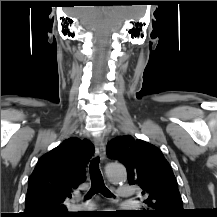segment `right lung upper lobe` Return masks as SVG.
Returning <instances> with one entry per match:
<instances>
[{
  "instance_id": "cb5924a9",
  "label": "right lung upper lobe",
  "mask_w": 217,
  "mask_h": 217,
  "mask_svg": "<svg viewBox=\"0 0 217 217\" xmlns=\"http://www.w3.org/2000/svg\"><path fill=\"white\" fill-rule=\"evenodd\" d=\"M94 153L87 139L69 138L43 155L28 181L23 217L74 216L64 201L85 181V166Z\"/></svg>"
}]
</instances>
